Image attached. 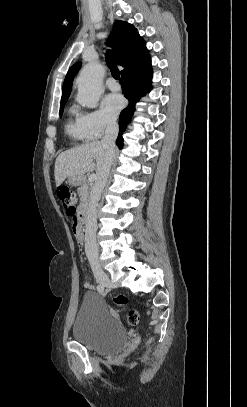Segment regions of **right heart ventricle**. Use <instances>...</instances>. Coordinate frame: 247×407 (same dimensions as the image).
Wrapping results in <instances>:
<instances>
[{"label":"right heart ventricle","mask_w":247,"mask_h":407,"mask_svg":"<svg viewBox=\"0 0 247 407\" xmlns=\"http://www.w3.org/2000/svg\"><path fill=\"white\" fill-rule=\"evenodd\" d=\"M65 131L66 134L76 142H85L89 140L81 121V113L76 107H70L68 109Z\"/></svg>","instance_id":"1"}]
</instances>
